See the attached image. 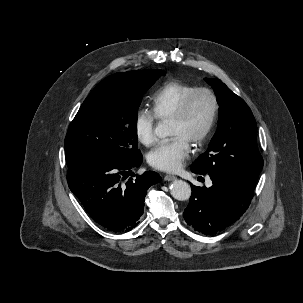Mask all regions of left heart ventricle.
<instances>
[{
    "label": "left heart ventricle",
    "mask_w": 303,
    "mask_h": 303,
    "mask_svg": "<svg viewBox=\"0 0 303 303\" xmlns=\"http://www.w3.org/2000/svg\"><path fill=\"white\" fill-rule=\"evenodd\" d=\"M212 110V101L207 94L201 93L193 100L187 116L182 121L170 122V134L183 136L190 143L204 130Z\"/></svg>",
    "instance_id": "obj_1"
}]
</instances>
